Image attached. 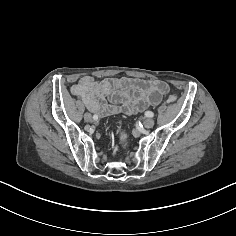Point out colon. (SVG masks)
<instances>
[{"mask_svg": "<svg viewBox=\"0 0 236 236\" xmlns=\"http://www.w3.org/2000/svg\"><path fill=\"white\" fill-rule=\"evenodd\" d=\"M167 101L171 104H175L178 101V96L176 94H170L167 98ZM118 142L122 148H127L129 145V139L127 133L119 127L117 129Z\"/></svg>", "mask_w": 236, "mask_h": 236, "instance_id": "colon-1", "label": "colon"}]
</instances>
